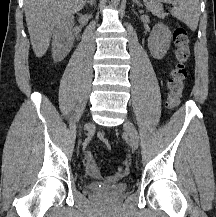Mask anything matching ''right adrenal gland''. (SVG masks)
I'll return each mask as SVG.
<instances>
[{
    "label": "right adrenal gland",
    "instance_id": "obj_1",
    "mask_svg": "<svg viewBox=\"0 0 216 217\" xmlns=\"http://www.w3.org/2000/svg\"><path fill=\"white\" fill-rule=\"evenodd\" d=\"M95 2H96V0H87L85 5L89 4L90 6H93V5H95Z\"/></svg>",
    "mask_w": 216,
    "mask_h": 217
}]
</instances>
